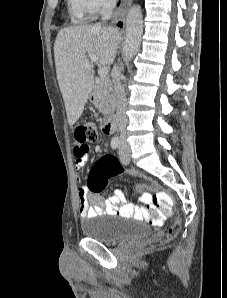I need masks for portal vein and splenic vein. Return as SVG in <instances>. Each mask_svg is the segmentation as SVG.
Wrapping results in <instances>:
<instances>
[{
  "label": "portal vein and splenic vein",
  "instance_id": "obj_1",
  "mask_svg": "<svg viewBox=\"0 0 227 298\" xmlns=\"http://www.w3.org/2000/svg\"><path fill=\"white\" fill-rule=\"evenodd\" d=\"M88 58L90 59L91 62L96 63L97 62V57L96 55L89 53ZM98 75L100 78L105 79L108 76V68L107 67H100L98 69Z\"/></svg>",
  "mask_w": 227,
  "mask_h": 298
}]
</instances>
